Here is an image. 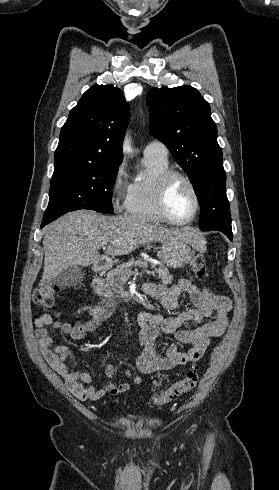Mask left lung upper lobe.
<instances>
[{"instance_id":"1","label":"left lung upper lobe","mask_w":279,"mask_h":490,"mask_svg":"<svg viewBox=\"0 0 279 490\" xmlns=\"http://www.w3.org/2000/svg\"><path fill=\"white\" fill-rule=\"evenodd\" d=\"M150 133L187 172L200 205L202 231H232L226 174L210 106L193 87L152 88L147 94Z\"/></svg>"}]
</instances>
